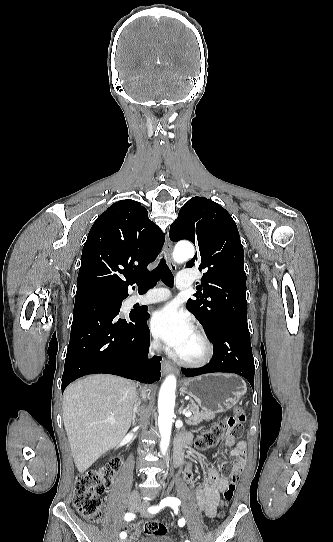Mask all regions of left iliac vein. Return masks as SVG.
<instances>
[{"instance_id": "1", "label": "left iliac vein", "mask_w": 333, "mask_h": 542, "mask_svg": "<svg viewBox=\"0 0 333 542\" xmlns=\"http://www.w3.org/2000/svg\"><path fill=\"white\" fill-rule=\"evenodd\" d=\"M148 507H149V502L148 501H144L141 504V507L139 509V513H140L141 516H143L145 518L150 516V514L148 512V509H147Z\"/></svg>"}]
</instances>
